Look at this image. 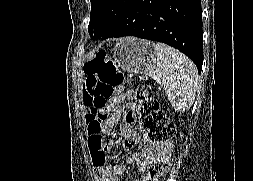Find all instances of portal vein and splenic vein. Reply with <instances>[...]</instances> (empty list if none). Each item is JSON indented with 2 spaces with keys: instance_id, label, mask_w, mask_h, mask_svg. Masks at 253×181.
Returning <instances> with one entry per match:
<instances>
[{
  "instance_id": "1",
  "label": "portal vein and splenic vein",
  "mask_w": 253,
  "mask_h": 181,
  "mask_svg": "<svg viewBox=\"0 0 253 181\" xmlns=\"http://www.w3.org/2000/svg\"><path fill=\"white\" fill-rule=\"evenodd\" d=\"M152 78H153L154 80H156V79H157V77H156L155 75H153V76H152Z\"/></svg>"
}]
</instances>
